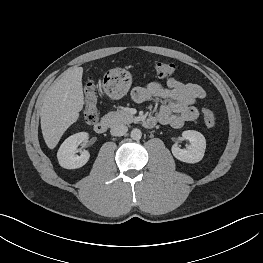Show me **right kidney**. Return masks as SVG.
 Masks as SVG:
<instances>
[{"label":"right kidney","instance_id":"obj_1","mask_svg":"<svg viewBox=\"0 0 263 263\" xmlns=\"http://www.w3.org/2000/svg\"><path fill=\"white\" fill-rule=\"evenodd\" d=\"M88 139V134L84 132L76 133L68 137L60 146L57 158L61 167L66 169H76L84 166L90 157L88 151H80L78 146ZM81 152V155L76 153Z\"/></svg>","mask_w":263,"mask_h":263}]
</instances>
